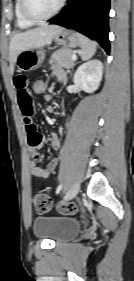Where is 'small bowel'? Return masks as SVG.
Wrapping results in <instances>:
<instances>
[{
    "label": "small bowel",
    "instance_id": "1",
    "mask_svg": "<svg viewBox=\"0 0 134 281\" xmlns=\"http://www.w3.org/2000/svg\"><path fill=\"white\" fill-rule=\"evenodd\" d=\"M55 77L58 82H65L67 80L66 74L62 70H57ZM13 86L16 90L17 102L27 133L28 149L32 157L28 165L29 172L35 177L49 178L58 165V157L53 156L45 167H40L38 164L40 160L38 148L43 145L45 140L38 132L33 119L35 109L30 80L25 74H17L13 77ZM43 98L45 101H50L51 95L44 94ZM50 145L55 152L60 151L61 141L58 136L54 135L50 138Z\"/></svg>",
    "mask_w": 134,
    "mask_h": 281
}]
</instances>
